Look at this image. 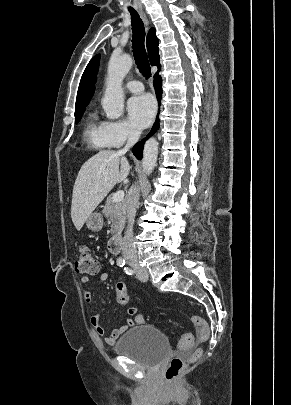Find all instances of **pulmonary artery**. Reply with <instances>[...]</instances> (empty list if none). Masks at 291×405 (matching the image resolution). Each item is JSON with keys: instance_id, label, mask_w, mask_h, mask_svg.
Instances as JSON below:
<instances>
[{"instance_id": "obj_1", "label": "pulmonary artery", "mask_w": 291, "mask_h": 405, "mask_svg": "<svg viewBox=\"0 0 291 405\" xmlns=\"http://www.w3.org/2000/svg\"><path fill=\"white\" fill-rule=\"evenodd\" d=\"M126 88L133 93H140L144 90L143 84L139 81H128L126 83Z\"/></svg>"}]
</instances>
